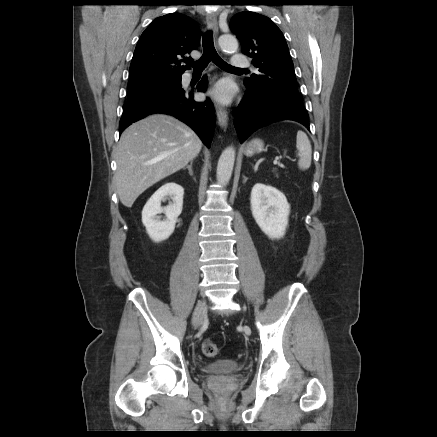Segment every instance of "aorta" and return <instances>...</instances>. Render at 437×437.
Listing matches in <instances>:
<instances>
[{
	"label": "aorta",
	"instance_id": "aorta-1",
	"mask_svg": "<svg viewBox=\"0 0 437 437\" xmlns=\"http://www.w3.org/2000/svg\"><path fill=\"white\" fill-rule=\"evenodd\" d=\"M219 46L225 53H234L238 49L237 39L231 34H223L219 37ZM236 152L231 146L226 148L219 160L217 165V181L221 185H226L231 178L234 162H235Z\"/></svg>",
	"mask_w": 437,
	"mask_h": 437
}]
</instances>
